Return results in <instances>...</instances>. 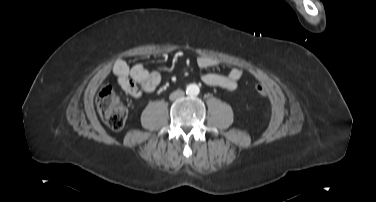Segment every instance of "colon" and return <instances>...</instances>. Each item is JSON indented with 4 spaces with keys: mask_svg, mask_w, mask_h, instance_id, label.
<instances>
[{
    "mask_svg": "<svg viewBox=\"0 0 376 202\" xmlns=\"http://www.w3.org/2000/svg\"><path fill=\"white\" fill-rule=\"evenodd\" d=\"M256 91L260 95L266 93L263 85H257ZM96 106L103 122L113 130L124 127L128 116V109L123 100L116 95L109 86L103 87L97 96Z\"/></svg>",
    "mask_w": 376,
    "mask_h": 202,
    "instance_id": "colon-1",
    "label": "colon"
}]
</instances>
